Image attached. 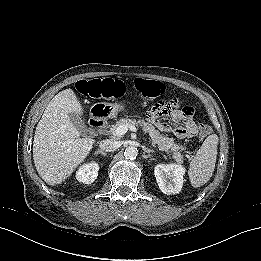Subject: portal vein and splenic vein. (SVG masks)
Returning a JSON list of instances; mask_svg holds the SVG:
<instances>
[{
  "label": "portal vein and splenic vein",
  "instance_id": "portal-vein-and-splenic-vein-1",
  "mask_svg": "<svg viewBox=\"0 0 261 261\" xmlns=\"http://www.w3.org/2000/svg\"><path fill=\"white\" fill-rule=\"evenodd\" d=\"M128 128L133 132L137 131L135 126L128 127L127 125H116V126L111 127L109 132L115 136H122L127 132Z\"/></svg>",
  "mask_w": 261,
  "mask_h": 261
}]
</instances>
